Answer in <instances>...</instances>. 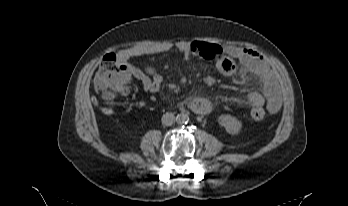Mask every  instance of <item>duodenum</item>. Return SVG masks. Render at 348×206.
<instances>
[{
  "label": "duodenum",
  "instance_id": "obj_1",
  "mask_svg": "<svg viewBox=\"0 0 348 206\" xmlns=\"http://www.w3.org/2000/svg\"><path fill=\"white\" fill-rule=\"evenodd\" d=\"M192 107L199 114L205 113L208 110V107L203 102V100H196V102H194V105H192Z\"/></svg>",
  "mask_w": 348,
  "mask_h": 206
}]
</instances>
